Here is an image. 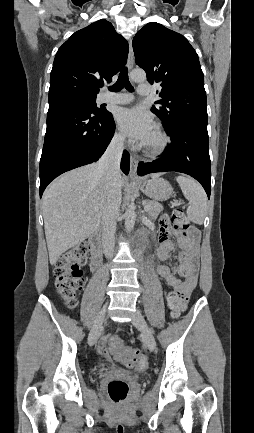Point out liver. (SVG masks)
<instances>
[{
  "mask_svg": "<svg viewBox=\"0 0 254 433\" xmlns=\"http://www.w3.org/2000/svg\"><path fill=\"white\" fill-rule=\"evenodd\" d=\"M126 181L120 174L121 188ZM107 198L106 176L98 169V163L74 169L46 189L42 206L51 265L100 226Z\"/></svg>",
  "mask_w": 254,
  "mask_h": 433,
  "instance_id": "6515ba94",
  "label": "liver"
}]
</instances>
